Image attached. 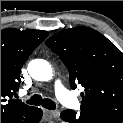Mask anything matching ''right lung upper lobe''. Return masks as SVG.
I'll return each mask as SVG.
<instances>
[{
  "instance_id": "right-lung-upper-lobe-1",
  "label": "right lung upper lobe",
  "mask_w": 123,
  "mask_h": 123,
  "mask_svg": "<svg viewBox=\"0 0 123 123\" xmlns=\"http://www.w3.org/2000/svg\"><path fill=\"white\" fill-rule=\"evenodd\" d=\"M47 36L43 30H1V123L31 108L14 96L21 82V67Z\"/></svg>"
}]
</instances>
